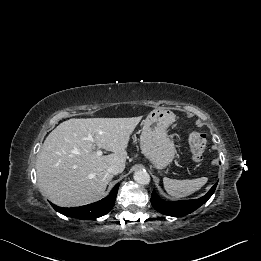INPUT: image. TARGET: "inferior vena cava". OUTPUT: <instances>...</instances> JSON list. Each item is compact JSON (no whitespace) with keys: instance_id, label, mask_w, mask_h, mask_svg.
I'll use <instances>...</instances> for the list:
<instances>
[{"instance_id":"602c4592","label":"inferior vena cava","mask_w":261,"mask_h":261,"mask_svg":"<svg viewBox=\"0 0 261 261\" xmlns=\"http://www.w3.org/2000/svg\"><path fill=\"white\" fill-rule=\"evenodd\" d=\"M123 171V168L120 165H111L108 167L107 172L110 175H117Z\"/></svg>"}]
</instances>
